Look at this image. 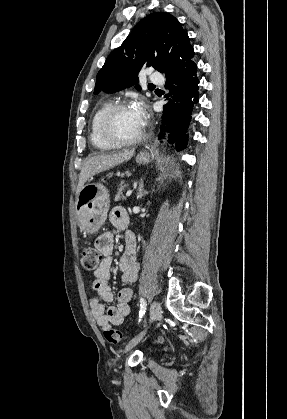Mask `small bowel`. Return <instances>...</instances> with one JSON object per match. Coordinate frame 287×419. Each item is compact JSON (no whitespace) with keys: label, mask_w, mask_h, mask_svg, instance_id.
Segmentation results:
<instances>
[{"label":"small bowel","mask_w":287,"mask_h":419,"mask_svg":"<svg viewBox=\"0 0 287 419\" xmlns=\"http://www.w3.org/2000/svg\"><path fill=\"white\" fill-rule=\"evenodd\" d=\"M110 221L117 229H125L129 224V216L123 207H115L111 211ZM95 248L103 254L104 259L94 273L93 289L98 297L91 299L89 306L96 324L102 329L107 330L112 325L122 324L124 318L130 314V301L132 299V289L122 288L116 297V304L108 308L103 302H112L114 293L108 285L110 278L111 254L114 245V236L111 232H104L95 240ZM121 270V280L124 283H133L138 276L139 265L137 262V242L132 232L125 235V248L119 260Z\"/></svg>","instance_id":"small-bowel-1"}]
</instances>
